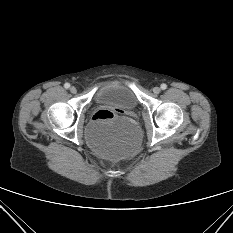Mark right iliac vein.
I'll return each mask as SVG.
<instances>
[{"instance_id": "1", "label": "right iliac vein", "mask_w": 233, "mask_h": 233, "mask_svg": "<svg viewBox=\"0 0 233 233\" xmlns=\"http://www.w3.org/2000/svg\"><path fill=\"white\" fill-rule=\"evenodd\" d=\"M70 92H71L72 94H76V93H77L76 87L72 86V87L70 88Z\"/></svg>"}]
</instances>
